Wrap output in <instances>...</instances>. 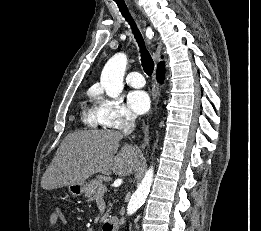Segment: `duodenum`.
<instances>
[{
	"label": "duodenum",
	"mask_w": 261,
	"mask_h": 231,
	"mask_svg": "<svg viewBox=\"0 0 261 231\" xmlns=\"http://www.w3.org/2000/svg\"><path fill=\"white\" fill-rule=\"evenodd\" d=\"M119 220L117 218H111L103 223L102 231H118Z\"/></svg>",
	"instance_id": "duodenum-1"
}]
</instances>
